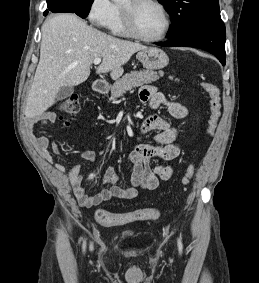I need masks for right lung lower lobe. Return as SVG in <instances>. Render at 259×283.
<instances>
[{
	"label": "right lung lower lobe",
	"instance_id": "1",
	"mask_svg": "<svg viewBox=\"0 0 259 283\" xmlns=\"http://www.w3.org/2000/svg\"><path fill=\"white\" fill-rule=\"evenodd\" d=\"M80 0H47L48 10L54 13L70 12L78 14ZM48 10L44 12V16L48 14Z\"/></svg>",
	"mask_w": 259,
	"mask_h": 283
}]
</instances>
